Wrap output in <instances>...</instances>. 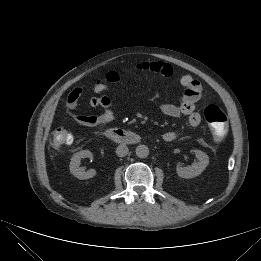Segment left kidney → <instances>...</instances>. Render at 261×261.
<instances>
[{
    "label": "left kidney",
    "instance_id": "1",
    "mask_svg": "<svg viewBox=\"0 0 261 261\" xmlns=\"http://www.w3.org/2000/svg\"><path fill=\"white\" fill-rule=\"evenodd\" d=\"M195 156L198 158L197 163H193L188 167L177 166V174L181 178L190 179L200 175L209 164V157L201 150H194Z\"/></svg>",
    "mask_w": 261,
    "mask_h": 261
}]
</instances>
